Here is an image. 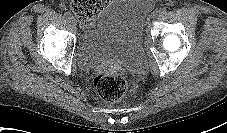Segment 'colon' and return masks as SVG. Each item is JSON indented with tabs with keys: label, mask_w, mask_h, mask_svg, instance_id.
Segmentation results:
<instances>
[{
	"label": "colon",
	"mask_w": 227,
	"mask_h": 133,
	"mask_svg": "<svg viewBox=\"0 0 227 133\" xmlns=\"http://www.w3.org/2000/svg\"><path fill=\"white\" fill-rule=\"evenodd\" d=\"M109 0H72L71 9L84 23L92 20ZM98 95L107 102H119L127 97L130 86L127 80L117 73H99L93 79Z\"/></svg>",
	"instance_id": "1"
}]
</instances>
